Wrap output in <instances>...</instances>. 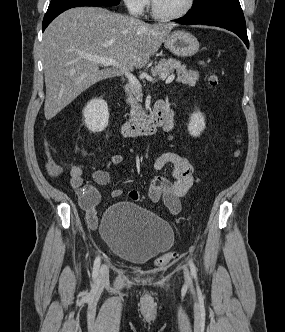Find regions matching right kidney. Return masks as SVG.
<instances>
[{
	"mask_svg": "<svg viewBox=\"0 0 285 332\" xmlns=\"http://www.w3.org/2000/svg\"><path fill=\"white\" fill-rule=\"evenodd\" d=\"M83 116L85 125L91 132L103 131L109 120L107 103L100 98L90 100L84 108Z\"/></svg>",
	"mask_w": 285,
	"mask_h": 332,
	"instance_id": "ca27d5eb",
	"label": "right kidney"
}]
</instances>
